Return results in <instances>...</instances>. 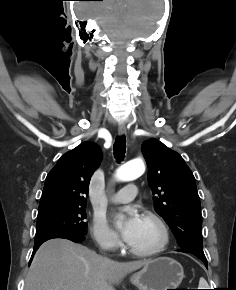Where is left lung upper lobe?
I'll list each match as a JSON object with an SVG mask.
<instances>
[{"instance_id": "1", "label": "left lung upper lobe", "mask_w": 236, "mask_h": 290, "mask_svg": "<svg viewBox=\"0 0 236 290\" xmlns=\"http://www.w3.org/2000/svg\"><path fill=\"white\" fill-rule=\"evenodd\" d=\"M153 190L154 209L166 221L180 250L206 260L202 249L200 198L192 171L183 158L157 139L142 143Z\"/></svg>"}]
</instances>
